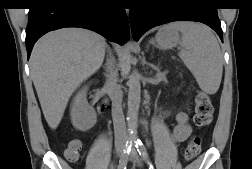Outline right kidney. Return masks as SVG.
<instances>
[{
  "label": "right kidney",
  "mask_w": 252,
  "mask_h": 169,
  "mask_svg": "<svg viewBox=\"0 0 252 169\" xmlns=\"http://www.w3.org/2000/svg\"><path fill=\"white\" fill-rule=\"evenodd\" d=\"M88 87H82L74 96L70 109L73 126L81 131H87L96 123V112L87 102Z\"/></svg>",
  "instance_id": "ca27d5eb"
}]
</instances>
